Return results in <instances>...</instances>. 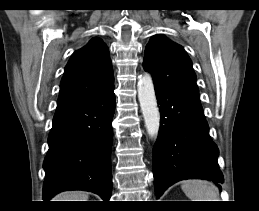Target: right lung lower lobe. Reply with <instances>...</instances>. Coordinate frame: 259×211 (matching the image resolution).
I'll return each mask as SVG.
<instances>
[{
    "label": "right lung lower lobe",
    "mask_w": 259,
    "mask_h": 211,
    "mask_svg": "<svg viewBox=\"0 0 259 211\" xmlns=\"http://www.w3.org/2000/svg\"><path fill=\"white\" fill-rule=\"evenodd\" d=\"M114 87L93 99L57 108L44 160L43 199L85 190L108 201L112 188Z\"/></svg>",
    "instance_id": "obj_1"
}]
</instances>
